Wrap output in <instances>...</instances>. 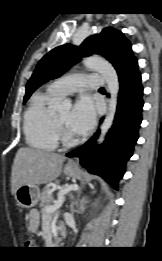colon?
Segmentation results:
<instances>
[{
	"label": "colon",
	"mask_w": 162,
	"mask_h": 261,
	"mask_svg": "<svg viewBox=\"0 0 162 261\" xmlns=\"http://www.w3.org/2000/svg\"><path fill=\"white\" fill-rule=\"evenodd\" d=\"M32 244H33L32 241H27V242H26V245H32Z\"/></svg>",
	"instance_id": "5ec220e1"
}]
</instances>
